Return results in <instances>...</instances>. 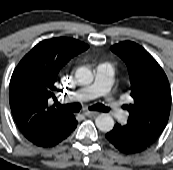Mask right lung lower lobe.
I'll return each mask as SVG.
<instances>
[{"label": "right lung lower lobe", "instance_id": "right-lung-lower-lobe-1", "mask_svg": "<svg viewBox=\"0 0 173 170\" xmlns=\"http://www.w3.org/2000/svg\"><path fill=\"white\" fill-rule=\"evenodd\" d=\"M76 126L77 121L74 115H71L65 122L27 139L39 147H52L67 138Z\"/></svg>", "mask_w": 173, "mask_h": 170}]
</instances>
